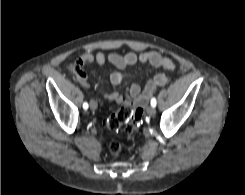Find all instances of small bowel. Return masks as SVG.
<instances>
[{
	"instance_id": "small-bowel-1",
	"label": "small bowel",
	"mask_w": 245,
	"mask_h": 195,
	"mask_svg": "<svg viewBox=\"0 0 245 195\" xmlns=\"http://www.w3.org/2000/svg\"><path fill=\"white\" fill-rule=\"evenodd\" d=\"M97 63L102 66L109 62L118 70H123L128 66L135 65L136 63L150 64L155 68H160L166 71H174L175 63L167 56H163L158 51L150 50L140 54L133 52L120 55L117 53H104L97 52L95 54L91 52H84L79 56L75 63V72L79 82L88 87L90 83L84 73L82 67L86 64ZM127 76L121 71H115L110 75V82L113 85L121 86L126 83ZM167 77L158 73L151 78L145 87L141 89L138 84L131 83L127 86V94L124 95L120 91H114L105 94V98L116 103L122 104L127 102L128 98H131L138 106H144L147 104L150 97L154 94L159 86H163L167 83Z\"/></svg>"
}]
</instances>
